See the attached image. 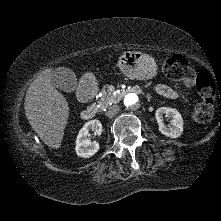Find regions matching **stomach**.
I'll return each mask as SVG.
<instances>
[{
	"label": "stomach",
	"instance_id": "obj_1",
	"mask_svg": "<svg viewBox=\"0 0 221 221\" xmlns=\"http://www.w3.org/2000/svg\"><path fill=\"white\" fill-rule=\"evenodd\" d=\"M121 72L130 79H151L157 74V65L154 59L138 51L124 52L118 62Z\"/></svg>",
	"mask_w": 221,
	"mask_h": 221
}]
</instances>
